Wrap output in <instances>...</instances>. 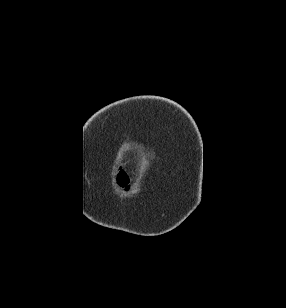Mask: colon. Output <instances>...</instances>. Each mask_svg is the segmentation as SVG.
Segmentation results:
<instances>
[{"instance_id":"obj_1","label":"colon","mask_w":286,"mask_h":308,"mask_svg":"<svg viewBox=\"0 0 286 308\" xmlns=\"http://www.w3.org/2000/svg\"><path fill=\"white\" fill-rule=\"evenodd\" d=\"M118 178H119V181H120L122 186H124V187L127 186V184H128L127 177L123 172L120 171L118 173Z\"/></svg>"}]
</instances>
